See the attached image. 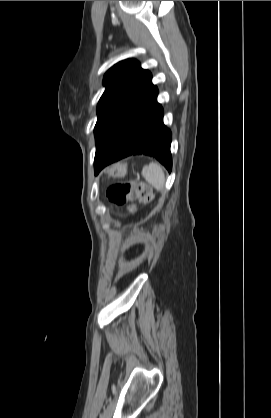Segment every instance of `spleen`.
I'll use <instances>...</instances> for the list:
<instances>
[{
  "mask_svg": "<svg viewBox=\"0 0 271 418\" xmlns=\"http://www.w3.org/2000/svg\"><path fill=\"white\" fill-rule=\"evenodd\" d=\"M142 175L145 180L151 184L157 191H161L165 183V175L160 164L151 162L142 169Z\"/></svg>",
  "mask_w": 271,
  "mask_h": 418,
  "instance_id": "obj_1",
  "label": "spleen"
}]
</instances>
